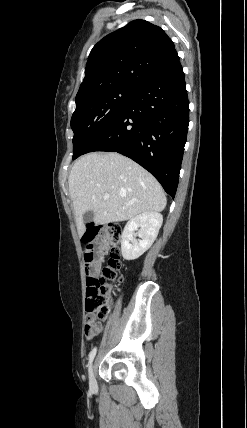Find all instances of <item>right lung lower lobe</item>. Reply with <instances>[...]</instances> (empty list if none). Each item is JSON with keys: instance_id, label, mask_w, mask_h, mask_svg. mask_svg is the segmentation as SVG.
<instances>
[{"instance_id": "98d812e1", "label": "right lung lower lobe", "mask_w": 247, "mask_h": 428, "mask_svg": "<svg viewBox=\"0 0 247 428\" xmlns=\"http://www.w3.org/2000/svg\"><path fill=\"white\" fill-rule=\"evenodd\" d=\"M188 124L189 101L178 60L145 84L83 154L125 155L148 170L174 198Z\"/></svg>"}]
</instances>
